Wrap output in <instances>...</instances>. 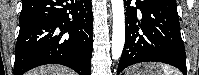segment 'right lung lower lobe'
Segmentation results:
<instances>
[{
    "label": "right lung lower lobe",
    "instance_id": "98d812e1",
    "mask_svg": "<svg viewBox=\"0 0 199 75\" xmlns=\"http://www.w3.org/2000/svg\"><path fill=\"white\" fill-rule=\"evenodd\" d=\"M14 75L44 64L91 74V0H22Z\"/></svg>",
    "mask_w": 199,
    "mask_h": 75
}]
</instances>
